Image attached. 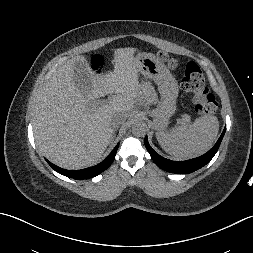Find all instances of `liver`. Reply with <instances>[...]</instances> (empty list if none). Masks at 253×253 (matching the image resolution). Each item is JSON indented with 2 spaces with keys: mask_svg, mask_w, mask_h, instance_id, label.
<instances>
[{
  "mask_svg": "<svg viewBox=\"0 0 253 253\" xmlns=\"http://www.w3.org/2000/svg\"><path fill=\"white\" fill-rule=\"evenodd\" d=\"M133 48L114 51V69L104 75L91 70L85 57L73 58L58 67L37 97L33 109V131L39 150L65 169H82L96 164L113 137L111 116L129 115L135 102L147 97V87L139 82L138 61ZM76 61L83 62L91 76L92 89L82 94L73 72ZM115 93L107 104L97 99Z\"/></svg>",
  "mask_w": 253,
  "mask_h": 253,
  "instance_id": "6515ba94",
  "label": "liver"
}]
</instances>
